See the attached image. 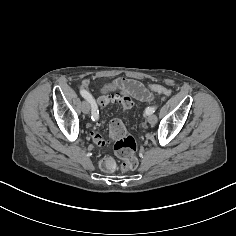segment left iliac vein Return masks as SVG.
I'll list each match as a JSON object with an SVG mask.
<instances>
[{
	"mask_svg": "<svg viewBox=\"0 0 236 236\" xmlns=\"http://www.w3.org/2000/svg\"><path fill=\"white\" fill-rule=\"evenodd\" d=\"M148 122H149L151 125L156 124V122H157V116L154 115V114L149 115V116H148Z\"/></svg>",
	"mask_w": 236,
	"mask_h": 236,
	"instance_id": "4c4485c4",
	"label": "left iliac vein"
}]
</instances>
